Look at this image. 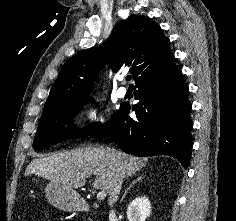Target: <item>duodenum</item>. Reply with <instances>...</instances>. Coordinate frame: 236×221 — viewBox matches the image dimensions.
Wrapping results in <instances>:
<instances>
[{"label":"duodenum","mask_w":236,"mask_h":221,"mask_svg":"<svg viewBox=\"0 0 236 221\" xmlns=\"http://www.w3.org/2000/svg\"><path fill=\"white\" fill-rule=\"evenodd\" d=\"M78 210L82 211V212H86V213H91L92 212V207L90 206L89 203L84 202V203L79 205Z\"/></svg>","instance_id":"1"}]
</instances>
